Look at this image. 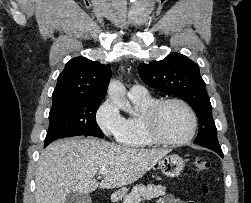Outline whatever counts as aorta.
Segmentation results:
<instances>
[{
	"label": "aorta",
	"instance_id": "762f6f07",
	"mask_svg": "<svg viewBox=\"0 0 251 203\" xmlns=\"http://www.w3.org/2000/svg\"><path fill=\"white\" fill-rule=\"evenodd\" d=\"M108 95L111 101L121 110L132 114L134 113L128 99L126 98V89L118 80H111L108 86Z\"/></svg>",
	"mask_w": 251,
	"mask_h": 203
}]
</instances>
